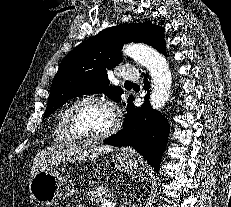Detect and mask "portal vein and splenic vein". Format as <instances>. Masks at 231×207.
Wrapping results in <instances>:
<instances>
[{
	"label": "portal vein and splenic vein",
	"mask_w": 231,
	"mask_h": 207,
	"mask_svg": "<svg viewBox=\"0 0 231 207\" xmlns=\"http://www.w3.org/2000/svg\"><path fill=\"white\" fill-rule=\"evenodd\" d=\"M115 205H116V203H112V202H109L107 200H103L101 202L100 207H114Z\"/></svg>",
	"instance_id": "obj_1"
}]
</instances>
